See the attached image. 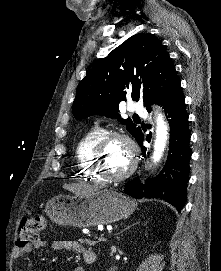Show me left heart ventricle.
Returning a JSON list of instances; mask_svg holds the SVG:
<instances>
[{
  "label": "left heart ventricle",
  "instance_id": "b2bd125f",
  "mask_svg": "<svg viewBox=\"0 0 221 271\" xmlns=\"http://www.w3.org/2000/svg\"><path fill=\"white\" fill-rule=\"evenodd\" d=\"M126 141H129L125 137H119L113 141H106L103 144V155H101V161L104 166L107 175H122L123 168H127L130 163L129 159H125L128 156V152H124Z\"/></svg>",
  "mask_w": 221,
  "mask_h": 271
}]
</instances>
